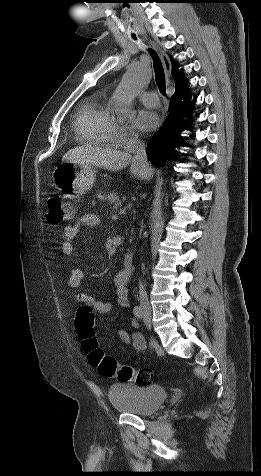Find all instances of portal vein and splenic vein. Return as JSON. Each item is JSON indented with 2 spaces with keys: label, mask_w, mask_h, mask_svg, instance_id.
Returning a JSON list of instances; mask_svg holds the SVG:
<instances>
[{
  "label": "portal vein and splenic vein",
  "mask_w": 261,
  "mask_h": 476,
  "mask_svg": "<svg viewBox=\"0 0 261 476\" xmlns=\"http://www.w3.org/2000/svg\"><path fill=\"white\" fill-rule=\"evenodd\" d=\"M125 213H126V210H125V209H120V212H119L120 215H121V214H125Z\"/></svg>",
  "instance_id": "1"
}]
</instances>
